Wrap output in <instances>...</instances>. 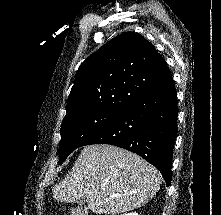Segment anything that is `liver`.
Returning <instances> with one entry per match:
<instances>
[{
	"label": "liver",
	"instance_id": "obj_1",
	"mask_svg": "<svg viewBox=\"0 0 221 215\" xmlns=\"http://www.w3.org/2000/svg\"><path fill=\"white\" fill-rule=\"evenodd\" d=\"M160 172L137 154L112 145L83 148L71 171L52 188L60 202L86 196L88 209L116 215L148 203L159 190Z\"/></svg>",
	"mask_w": 221,
	"mask_h": 215
}]
</instances>
